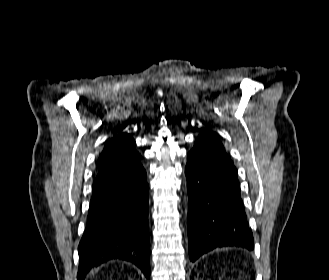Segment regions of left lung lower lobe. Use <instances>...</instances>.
<instances>
[{"mask_svg": "<svg viewBox=\"0 0 329 280\" xmlns=\"http://www.w3.org/2000/svg\"><path fill=\"white\" fill-rule=\"evenodd\" d=\"M212 171L187 162L189 256L194 262L201 255L221 247L253 250L240 196V184L227 154L218 153Z\"/></svg>", "mask_w": 329, "mask_h": 280, "instance_id": "1", "label": "left lung lower lobe"}]
</instances>
